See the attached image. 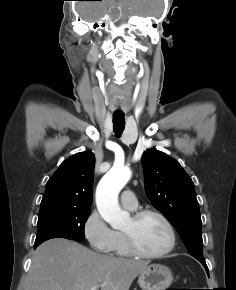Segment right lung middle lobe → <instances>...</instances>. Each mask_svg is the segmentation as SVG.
Listing matches in <instances>:
<instances>
[{
	"mask_svg": "<svg viewBox=\"0 0 236 290\" xmlns=\"http://www.w3.org/2000/svg\"><path fill=\"white\" fill-rule=\"evenodd\" d=\"M90 209L51 207L39 212L34 245L52 238L84 239V227Z\"/></svg>",
	"mask_w": 236,
	"mask_h": 290,
	"instance_id": "1",
	"label": "right lung middle lobe"
}]
</instances>
